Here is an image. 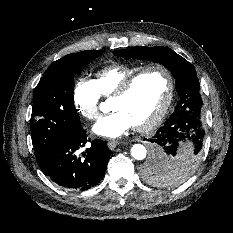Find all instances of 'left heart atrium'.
Segmentation results:
<instances>
[{"instance_id": "1", "label": "left heart atrium", "mask_w": 233, "mask_h": 233, "mask_svg": "<svg viewBox=\"0 0 233 233\" xmlns=\"http://www.w3.org/2000/svg\"><path fill=\"white\" fill-rule=\"evenodd\" d=\"M133 127L129 117L120 110H114L109 115L102 117L94 126L95 134L115 138L124 134L127 130Z\"/></svg>"}]
</instances>
